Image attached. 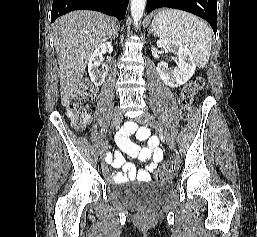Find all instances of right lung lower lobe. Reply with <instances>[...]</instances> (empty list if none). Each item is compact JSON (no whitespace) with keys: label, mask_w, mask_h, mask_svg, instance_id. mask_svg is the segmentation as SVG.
<instances>
[{"label":"right lung lower lobe","mask_w":257,"mask_h":237,"mask_svg":"<svg viewBox=\"0 0 257 237\" xmlns=\"http://www.w3.org/2000/svg\"><path fill=\"white\" fill-rule=\"evenodd\" d=\"M128 1L129 0H53L51 22L53 23L59 16L73 10H95L123 20Z\"/></svg>","instance_id":"1"}]
</instances>
